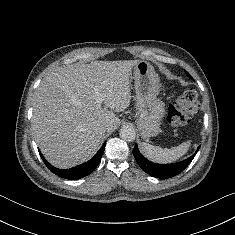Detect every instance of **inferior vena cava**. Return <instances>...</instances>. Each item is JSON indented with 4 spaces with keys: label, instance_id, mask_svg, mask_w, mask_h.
Returning <instances> with one entry per match:
<instances>
[{
    "label": "inferior vena cava",
    "instance_id": "602c4592",
    "mask_svg": "<svg viewBox=\"0 0 235 235\" xmlns=\"http://www.w3.org/2000/svg\"><path fill=\"white\" fill-rule=\"evenodd\" d=\"M106 127H107L106 125H103V126H102V129H104V130H105V129H106Z\"/></svg>",
    "mask_w": 235,
    "mask_h": 235
}]
</instances>
